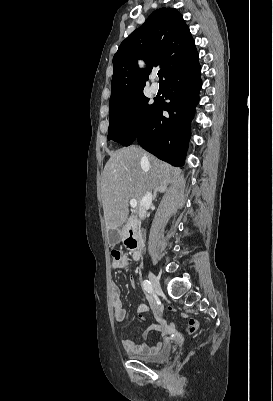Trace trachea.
<instances>
[{
	"instance_id": "obj_1",
	"label": "trachea",
	"mask_w": 273,
	"mask_h": 401,
	"mask_svg": "<svg viewBox=\"0 0 273 401\" xmlns=\"http://www.w3.org/2000/svg\"><path fill=\"white\" fill-rule=\"evenodd\" d=\"M158 76H159V81H163V73L161 70H159Z\"/></svg>"
}]
</instances>
